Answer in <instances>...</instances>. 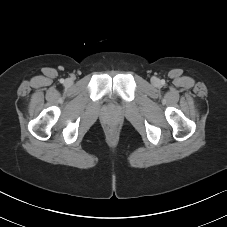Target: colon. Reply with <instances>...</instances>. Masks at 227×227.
Wrapping results in <instances>:
<instances>
[{
	"mask_svg": "<svg viewBox=\"0 0 227 227\" xmlns=\"http://www.w3.org/2000/svg\"><path fill=\"white\" fill-rule=\"evenodd\" d=\"M108 131H109L110 133H113L114 128H113L112 126H109V127H108Z\"/></svg>",
	"mask_w": 227,
	"mask_h": 227,
	"instance_id": "obj_1",
	"label": "colon"
}]
</instances>
